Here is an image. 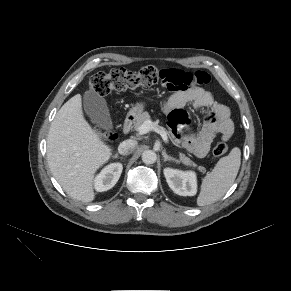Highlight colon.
I'll list each match as a JSON object with an SVG mask.
<instances>
[{"label":"colon","mask_w":291,"mask_h":291,"mask_svg":"<svg viewBox=\"0 0 291 291\" xmlns=\"http://www.w3.org/2000/svg\"><path fill=\"white\" fill-rule=\"evenodd\" d=\"M196 79L200 84L209 82L210 78L206 73H196ZM162 82L169 90L182 89L188 86V77L170 75L166 70L158 69L154 66H146L136 72L125 69H116L108 73L99 72L94 74L89 82V89L100 95L105 96L112 91H125L138 87H148ZM104 140L114 139L111 132H99ZM228 152L227 144L217 143L213 148L216 157L224 156Z\"/></svg>","instance_id":"5ec220e1"}]
</instances>
